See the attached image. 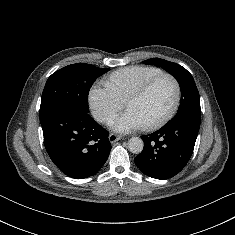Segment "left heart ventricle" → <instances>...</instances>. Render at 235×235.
I'll return each instance as SVG.
<instances>
[{
  "label": "left heart ventricle",
  "mask_w": 235,
  "mask_h": 235,
  "mask_svg": "<svg viewBox=\"0 0 235 235\" xmlns=\"http://www.w3.org/2000/svg\"><path fill=\"white\" fill-rule=\"evenodd\" d=\"M174 97L173 83L168 79H162L145 96L132 101L127 108L138 116L143 125H146L165 115L172 106Z\"/></svg>",
  "instance_id": "1"
}]
</instances>
